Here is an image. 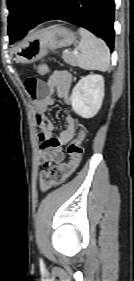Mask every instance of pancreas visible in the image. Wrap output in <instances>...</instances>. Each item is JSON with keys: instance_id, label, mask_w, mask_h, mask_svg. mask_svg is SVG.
Listing matches in <instances>:
<instances>
[{"instance_id": "1", "label": "pancreas", "mask_w": 134, "mask_h": 281, "mask_svg": "<svg viewBox=\"0 0 134 281\" xmlns=\"http://www.w3.org/2000/svg\"><path fill=\"white\" fill-rule=\"evenodd\" d=\"M62 58L65 63L70 64L72 66H76L77 64V56L70 52H64L62 54Z\"/></svg>"}]
</instances>
